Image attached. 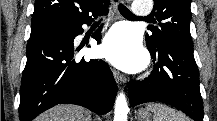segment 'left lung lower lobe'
I'll return each mask as SVG.
<instances>
[{"label":"left lung lower lobe","mask_w":217,"mask_h":121,"mask_svg":"<svg viewBox=\"0 0 217 121\" xmlns=\"http://www.w3.org/2000/svg\"><path fill=\"white\" fill-rule=\"evenodd\" d=\"M155 68L143 81L131 80V107L146 102H163L176 107L195 121H203L199 72L193 48L168 41L157 48L148 46Z\"/></svg>","instance_id":"1"}]
</instances>
